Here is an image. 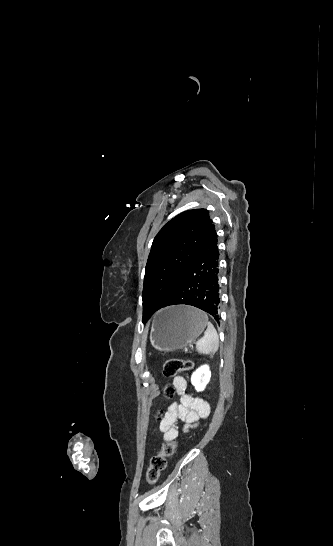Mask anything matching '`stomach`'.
I'll return each instance as SVG.
<instances>
[{"label": "stomach", "mask_w": 333, "mask_h": 546, "mask_svg": "<svg viewBox=\"0 0 333 546\" xmlns=\"http://www.w3.org/2000/svg\"><path fill=\"white\" fill-rule=\"evenodd\" d=\"M207 326L205 314L187 305L161 309L153 317L150 341L160 351H176L193 343Z\"/></svg>", "instance_id": "1"}]
</instances>
